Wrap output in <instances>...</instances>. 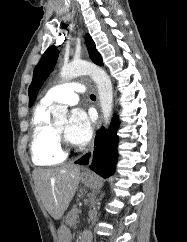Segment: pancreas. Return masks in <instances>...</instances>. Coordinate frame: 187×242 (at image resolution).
<instances>
[{
	"label": "pancreas",
	"mask_w": 187,
	"mask_h": 242,
	"mask_svg": "<svg viewBox=\"0 0 187 242\" xmlns=\"http://www.w3.org/2000/svg\"><path fill=\"white\" fill-rule=\"evenodd\" d=\"M79 217V212H78V209L77 208H73L70 213H69V216L66 220L67 224L69 226H74L76 225L77 223V219Z\"/></svg>",
	"instance_id": "pancreas-1"
}]
</instances>
